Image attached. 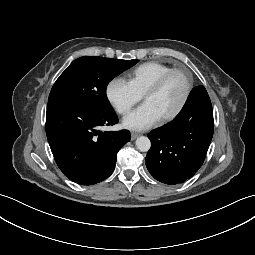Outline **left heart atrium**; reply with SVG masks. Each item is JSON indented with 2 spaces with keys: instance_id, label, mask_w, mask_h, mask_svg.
Segmentation results:
<instances>
[{
  "instance_id": "39dd6f15",
  "label": "left heart atrium",
  "mask_w": 255,
  "mask_h": 255,
  "mask_svg": "<svg viewBox=\"0 0 255 255\" xmlns=\"http://www.w3.org/2000/svg\"><path fill=\"white\" fill-rule=\"evenodd\" d=\"M160 119L161 116L153 105L145 102L143 105L128 114L124 118L123 124L128 129L144 130L156 124L160 121Z\"/></svg>"
}]
</instances>
